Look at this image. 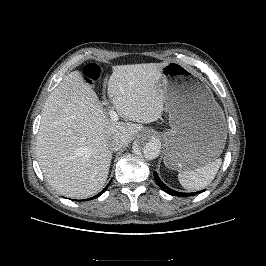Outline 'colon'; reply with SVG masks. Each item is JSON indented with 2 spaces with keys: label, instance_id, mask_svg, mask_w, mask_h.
Wrapping results in <instances>:
<instances>
[{
  "label": "colon",
  "instance_id": "obj_1",
  "mask_svg": "<svg viewBox=\"0 0 266 266\" xmlns=\"http://www.w3.org/2000/svg\"><path fill=\"white\" fill-rule=\"evenodd\" d=\"M83 74L86 78V80L90 83L93 81L97 80L100 76V69L97 65L95 64H89L87 65L84 70Z\"/></svg>",
  "mask_w": 266,
  "mask_h": 266
}]
</instances>
